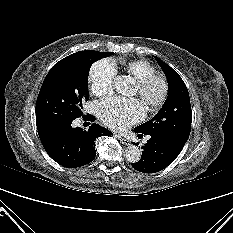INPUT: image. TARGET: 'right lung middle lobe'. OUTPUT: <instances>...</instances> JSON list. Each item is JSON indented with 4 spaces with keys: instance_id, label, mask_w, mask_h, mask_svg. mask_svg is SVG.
<instances>
[{
    "instance_id": "right-lung-middle-lobe-1",
    "label": "right lung middle lobe",
    "mask_w": 233,
    "mask_h": 233,
    "mask_svg": "<svg viewBox=\"0 0 233 233\" xmlns=\"http://www.w3.org/2000/svg\"><path fill=\"white\" fill-rule=\"evenodd\" d=\"M111 55L112 52L85 50L57 62L48 72L37 98V128L66 124L82 116V103L89 99L90 67Z\"/></svg>"
}]
</instances>
